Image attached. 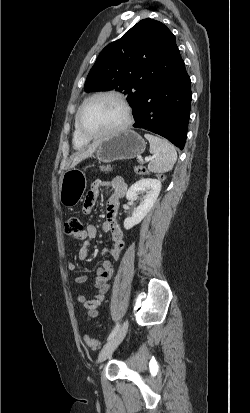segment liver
Wrapping results in <instances>:
<instances>
[{
	"label": "liver",
	"mask_w": 250,
	"mask_h": 413,
	"mask_svg": "<svg viewBox=\"0 0 250 413\" xmlns=\"http://www.w3.org/2000/svg\"><path fill=\"white\" fill-rule=\"evenodd\" d=\"M100 144V140L95 141L89 145L86 149L80 150L74 153L71 157L70 168L75 167L79 162L91 156Z\"/></svg>",
	"instance_id": "obj_1"
}]
</instances>
